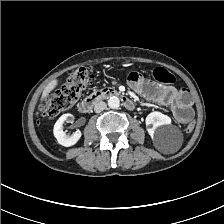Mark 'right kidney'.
I'll use <instances>...</instances> for the list:
<instances>
[{
  "mask_svg": "<svg viewBox=\"0 0 224 224\" xmlns=\"http://www.w3.org/2000/svg\"><path fill=\"white\" fill-rule=\"evenodd\" d=\"M74 120V116L72 114H64L62 115L54 125L53 133L58 143L65 147H70L75 145L78 140L81 138V131L76 130L71 136L66 135L63 131V123L70 122Z\"/></svg>",
  "mask_w": 224,
  "mask_h": 224,
  "instance_id": "right-kidney-1",
  "label": "right kidney"
}]
</instances>
